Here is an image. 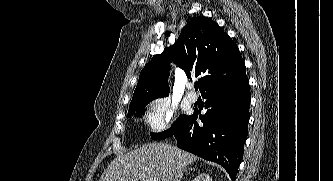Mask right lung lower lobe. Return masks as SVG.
<instances>
[{"label": "right lung lower lobe", "instance_id": "1", "mask_svg": "<svg viewBox=\"0 0 333 181\" xmlns=\"http://www.w3.org/2000/svg\"><path fill=\"white\" fill-rule=\"evenodd\" d=\"M202 97L206 99V114L186 116L172 136L179 148L223 166L234 181L248 135V77L243 75L212 87Z\"/></svg>", "mask_w": 333, "mask_h": 181}]
</instances>
